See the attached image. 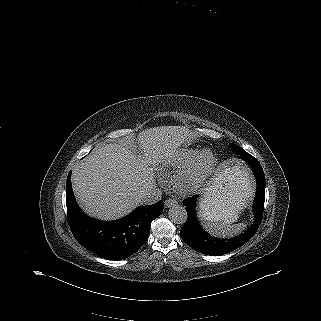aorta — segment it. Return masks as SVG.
Returning a JSON list of instances; mask_svg holds the SVG:
<instances>
[{
    "label": "aorta",
    "mask_w": 321,
    "mask_h": 321,
    "mask_svg": "<svg viewBox=\"0 0 321 321\" xmlns=\"http://www.w3.org/2000/svg\"><path fill=\"white\" fill-rule=\"evenodd\" d=\"M170 220L175 224H184L187 221L188 214L184 206L173 205L168 212Z\"/></svg>",
    "instance_id": "obj_1"
}]
</instances>
